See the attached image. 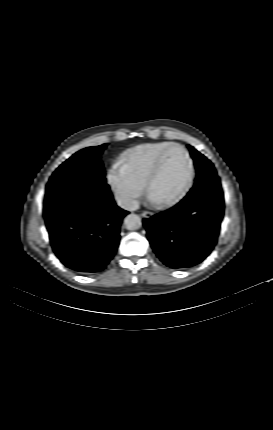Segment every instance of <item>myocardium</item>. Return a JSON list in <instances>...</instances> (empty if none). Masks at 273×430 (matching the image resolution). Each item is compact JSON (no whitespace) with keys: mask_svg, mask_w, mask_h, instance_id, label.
<instances>
[{"mask_svg":"<svg viewBox=\"0 0 273 430\" xmlns=\"http://www.w3.org/2000/svg\"><path fill=\"white\" fill-rule=\"evenodd\" d=\"M172 149H180L184 153L188 162V174L182 187L177 191L175 195H173L171 198L164 201H159V202L156 201L160 206H163V207L172 206L177 202H179L184 197V195L187 193V191L192 185V182L194 179V173H195L193 159L189 154V152L187 151V149L180 144L172 143L171 145H169L168 147H166L160 152L152 170L150 171L147 177V180L145 182V188H146L147 194L150 196L151 187L161 171L163 160L166 154Z\"/></svg>","mask_w":273,"mask_h":430,"instance_id":"1","label":"myocardium"}]
</instances>
